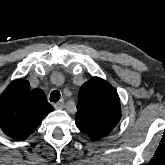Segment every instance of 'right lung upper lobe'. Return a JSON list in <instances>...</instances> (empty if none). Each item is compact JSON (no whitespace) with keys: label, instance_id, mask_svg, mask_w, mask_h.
<instances>
[{"label":"right lung upper lobe","instance_id":"right-lung-upper-lobe-1","mask_svg":"<svg viewBox=\"0 0 165 165\" xmlns=\"http://www.w3.org/2000/svg\"><path fill=\"white\" fill-rule=\"evenodd\" d=\"M54 110L40 89L26 80L13 81L0 97V127L15 140L27 139Z\"/></svg>","mask_w":165,"mask_h":165}]
</instances>
